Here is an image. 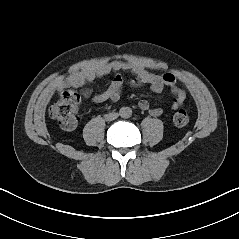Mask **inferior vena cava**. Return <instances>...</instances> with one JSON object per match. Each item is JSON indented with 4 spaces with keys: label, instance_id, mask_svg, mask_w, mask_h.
Instances as JSON below:
<instances>
[{
    "label": "inferior vena cava",
    "instance_id": "1",
    "mask_svg": "<svg viewBox=\"0 0 239 239\" xmlns=\"http://www.w3.org/2000/svg\"><path fill=\"white\" fill-rule=\"evenodd\" d=\"M118 117V114H116V113H111V114H108L107 115V119L108 120H114V119H116Z\"/></svg>",
    "mask_w": 239,
    "mask_h": 239
}]
</instances>
